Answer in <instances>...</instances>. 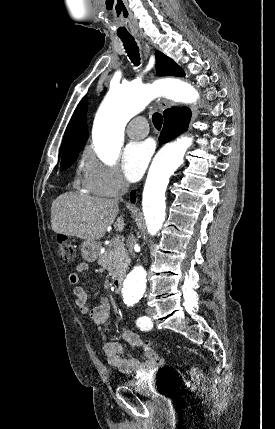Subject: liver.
<instances>
[{"mask_svg":"<svg viewBox=\"0 0 275 429\" xmlns=\"http://www.w3.org/2000/svg\"><path fill=\"white\" fill-rule=\"evenodd\" d=\"M118 211V200L67 192L52 202L51 227L58 234L96 241L114 223ZM114 226L119 232L124 229L122 216L117 218Z\"/></svg>","mask_w":275,"mask_h":429,"instance_id":"6515ba94","label":"liver"}]
</instances>
